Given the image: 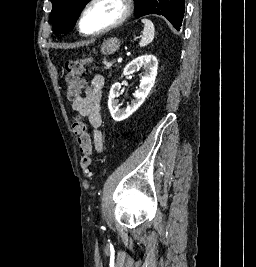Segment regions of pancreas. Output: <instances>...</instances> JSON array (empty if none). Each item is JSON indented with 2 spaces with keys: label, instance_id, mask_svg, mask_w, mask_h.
I'll return each mask as SVG.
<instances>
[{
  "label": "pancreas",
  "instance_id": "cf45deb5",
  "mask_svg": "<svg viewBox=\"0 0 256 267\" xmlns=\"http://www.w3.org/2000/svg\"><path fill=\"white\" fill-rule=\"evenodd\" d=\"M103 64L105 66V70H109L112 66V62H106V60H104Z\"/></svg>",
  "mask_w": 256,
  "mask_h": 267
}]
</instances>
